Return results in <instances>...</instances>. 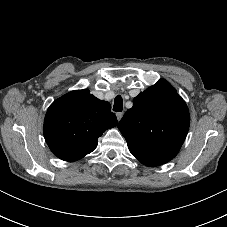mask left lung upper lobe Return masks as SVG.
Returning <instances> with one entry per match:
<instances>
[{"label": "left lung upper lobe", "mask_w": 227, "mask_h": 227, "mask_svg": "<svg viewBox=\"0 0 227 227\" xmlns=\"http://www.w3.org/2000/svg\"><path fill=\"white\" fill-rule=\"evenodd\" d=\"M190 124L184 100L164 79L133 100L118 128L132 155L146 166H159L179 152Z\"/></svg>", "instance_id": "obj_1"}]
</instances>
